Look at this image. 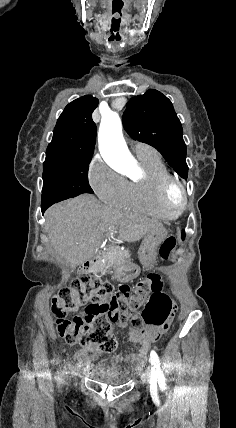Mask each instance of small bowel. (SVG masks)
<instances>
[{
  "label": "small bowel",
  "instance_id": "small-bowel-1",
  "mask_svg": "<svg viewBox=\"0 0 236 428\" xmlns=\"http://www.w3.org/2000/svg\"><path fill=\"white\" fill-rule=\"evenodd\" d=\"M121 326H129L128 341L133 345L140 346L137 352L128 354L126 359L129 361L143 360L150 343L157 340L159 336L164 332L163 329L158 328H142L141 321L136 316H134L133 320L130 322H121ZM99 355L100 354L98 352L89 354L85 350H79L76 352L75 358L78 362L79 367L82 370L91 373L95 371V368H97V366H104L106 363L105 360H101L98 364H96ZM113 359L121 360L122 358L120 356H115Z\"/></svg>",
  "mask_w": 236,
  "mask_h": 428
}]
</instances>
